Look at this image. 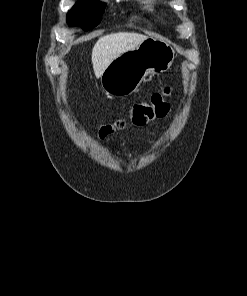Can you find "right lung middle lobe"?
Returning a JSON list of instances; mask_svg holds the SVG:
<instances>
[{"mask_svg": "<svg viewBox=\"0 0 247 296\" xmlns=\"http://www.w3.org/2000/svg\"><path fill=\"white\" fill-rule=\"evenodd\" d=\"M104 7V3L96 1H79L68 12L67 22L71 26H82L87 31L100 23Z\"/></svg>", "mask_w": 247, "mask_h": 296, "instance_id": "obj_1", "label": "right lung middle lobe"}]
</instances>
